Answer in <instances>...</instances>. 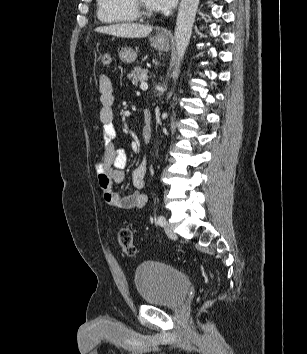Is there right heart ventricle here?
Listing matches in <instances>:
<instances>
[{
    "mask_svg": "<svg viewBox=\"0 0 307 354\" xmlns=\"http://www.w3.org/2000/svg\"><path fill=\"white\" fill-rule=\"evenodd\" d=\"M97 16L104 23L134 22L138 19L130 0H97Z\"/></svg>",
    "mask_w": 307,
    "mask_h": 354,
    "instance_id": "e07e8e85",
    "label": "right heart ventricle"
}]
</instances>
